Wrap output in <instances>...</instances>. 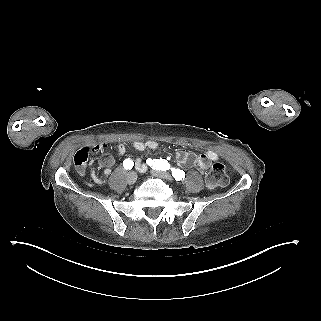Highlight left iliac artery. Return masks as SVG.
I'll use <instances>...</instances> for the list:
<instances>
[{
	"label": "left iliac artery",
	"instance_id": "left-iliac-artery-1",
	"mask_svg": "<svg viewBox=\"0 0 321 321\" xmlns=\"http://www.w3.org/2000/svg\"><path fill=\"white\" fill-rule=\"evenodd\" d=\"M146 163L152 167V169L155 170H161V171H166L170 169V165L166 160L160 159V160H152V159H147ZM172 176L176 181L183 180L185 178V173L180 170V169H171Z\"/></svg>",
	"mask_w": 321,
	"mask_h": 321
}]
</instances>
